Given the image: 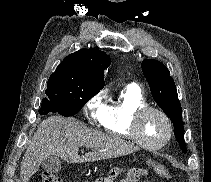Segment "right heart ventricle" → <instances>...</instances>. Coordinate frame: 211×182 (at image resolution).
I'll return each instance as SVG.
<instances>
[{
    "label": "right heart ventricle",
    "mask_w": 211,
    "mask_h": 182,
    "mask_svg": "<svg viewBox=\"0 0 211 182\" xmlns=\"http://www.w3.org/2000/svg\"><path fill=\"white\" fill-rule=\"evenodd\" d=\"M147 105L142 91L136 86L124 88L117 100L107 106L101 126L109 134L126 140H134L131 134V119L134 111Z\"/></svg>",
    "instance_id": "1"
}]
</instances>
